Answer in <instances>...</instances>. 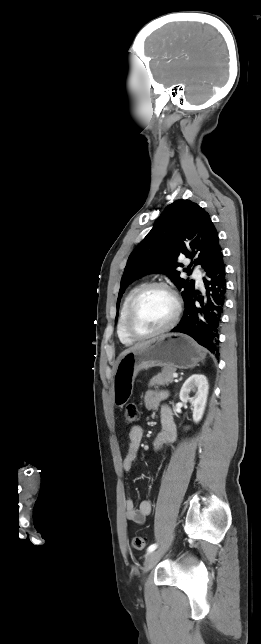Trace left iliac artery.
Segmentation results:
<instances>
[{
	"instance_id": "1",
	"label": "left iliac artery",
	"mask_w": 261,
	"mask_h": 644,
	"mask_svg": "<svg viewBox=\"0 0 261 644\" xmlns=\"http://www.w3.org/2000/svg\"><path fill=\"white\" fill-rule=\"evenodd\" d=\"M157 548V544H152L148 547L147 552L150 553Z\"/></svg>"
}]
</instances>
